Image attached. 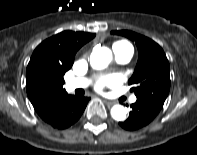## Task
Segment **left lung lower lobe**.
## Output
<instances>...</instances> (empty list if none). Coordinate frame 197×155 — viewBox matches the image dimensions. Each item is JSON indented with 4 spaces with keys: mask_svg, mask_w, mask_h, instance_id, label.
Here are the masks:
<instances>
[{
    "mask_svg": "<svg viewBox=\"0 0 197 155\" xmlns=\"http://www.w3.org/2000/svg\"><path fill=\"white\" fill-rule=\"evenodd\" d=\"M131 107L132 111L129 118L124 122H119L121 127L130 131L144 127L159 113V111L141 101H136Z\"/></svg>",
    "mask_w": 197,
    "mask_h": 155,
    "instance_id": "left-lung-lower-lobe-1",
    "label": "left lung lower lobe"
}]
</instances>
